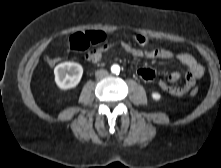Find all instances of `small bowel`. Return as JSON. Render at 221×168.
I'll list each match as a JSON object with an SVG mask.
<instances>
[{
    "label": "small bowel",
    "instance_id": "c3829d8e",
    "mask_svg": "<svg viewBox=\"0 0 221 168\" xmlns=\"http://www.w3.org/2000/svg\"><path fill=\"white\" fill-rule=\"evenodd\" d=\"M115 45H118L124 52L133 57H146L148 59H173L176 58L186 68V80L183 85H177L176 82L181 78L179 72L170 74L166 79L159 82V86L165 92L173 96H181L187 93L195 84L196 80L204 75V67L188 53L174 54L166 49H139L125 41H119L114 44H103L88 52L86 59L91 63H99L104 53L109 51ZM138 76L146 82H152L156 73L152 68L142 67L137 71Z\"/></svg>",
    "mask_w": 221,
    "mask_h": 168
}]
</instances>
